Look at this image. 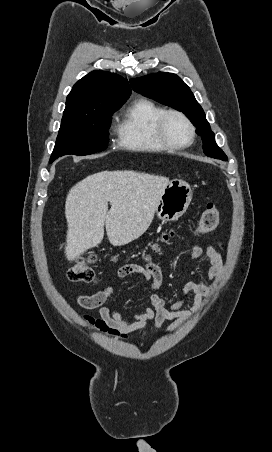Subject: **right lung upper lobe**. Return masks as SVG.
<instances>
[{
  "label": "right lung upper lobe",
  "mask_w": 272,
  "mask_h": 452,
  "mask_svg": "<svg viewBox=\"0 0 272 452\" xmlns=\"http://www.w3.org/2000/svg\"><path fill=\"white\" fill-rule=\"evenodd\" d=\"M131 94L127 80L103 71H93L80 79L67 96L63 118L87 116L100 109L121 104Z\"/></svg>",
  "instance_id": "cb5924a9"
}]
</instances>
